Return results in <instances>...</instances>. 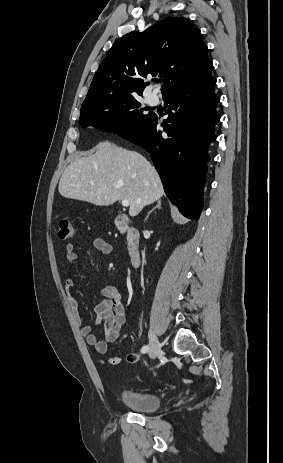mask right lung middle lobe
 I'll list each match as a JSON object with an SVG mask.
<instances>
[{
	"instance_id": "obj_1",
	"label": "right lung middle lobe",
	"mask_w": 283,
	"mask_h": 463,
	"mask_svg": "<svg viewBox=\"0 0 283 463\" xmlns=\"http://www.w3.org/2000/svg\"><path fill=\"white\" fill-rule=\"evenodd\" d=\"M136 96H112L81 106L79 124L96 127L120 136L138 130L150 117L139 109Z\"/></svg>"
}]
</instances>
